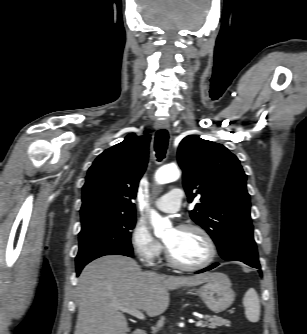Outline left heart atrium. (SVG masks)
Here are the masks:
<instances>
[{
	"label": "left heart atrium",
	"mask_w": 307,
	"mask_h": 334,
	"mask_svg": "<svg viewBox=\"0 0 307 334\" xmlns=\"http://www.w3.org/2000/svg\"><path fill=\"white\" fill-rule=\"evenodd\" d=\"M173 232H174V233H173V236H174V237H173L172 241L174 240V238H175V236H176V234H177V232H178V229H174ZM167 245L169 246V244H167Z\"/></svg>",
	"instance_id": "left-heart-atrium-1"
}]
</instances>
